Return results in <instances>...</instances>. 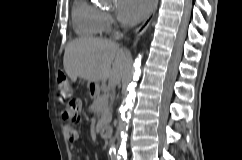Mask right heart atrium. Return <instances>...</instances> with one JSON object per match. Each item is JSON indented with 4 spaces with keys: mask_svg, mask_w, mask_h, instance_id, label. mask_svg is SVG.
<instances>
[{
    "mask_svg": "<svg viewBox=\"0 0 242 160\" xmlns=\"http://www.w3.org/2000/svg\"><path fill=\"white\" fill-rule=\"evenodd\" d=\"M104 23H105V28L106 30H109L111 29L112 25H113V18L112 16L107 13V12H104Z\"/></svg>",
    "mask_w": 242,
    "mask_h": 160,
    "instance_id": "d8ad5b80",
    "label": "right heart atrium"
}]
</instances>
